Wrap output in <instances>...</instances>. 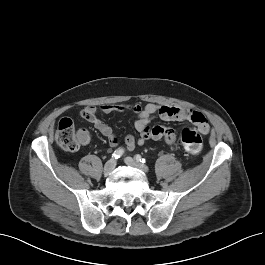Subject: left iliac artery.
<instances>
[{"instance_id":"44dca946","label":"left iliac artery","mask_w":265,"mask_h":265,"mask_svg":"<svg viewBox=\"0 0 265 265\" xmlns=\"http://www.w3.org/2000/svg\"><path fill=\"white\" fill-rule=\"evenodd\" d=\"M135 159L137 160V162L145 163V159L139 154L135 156Z\"/></svg>"}]
</instances>
